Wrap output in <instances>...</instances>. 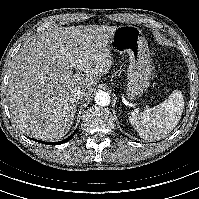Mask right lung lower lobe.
<instances>
[{"label": "right lung lower lobe", "instance_id": "1", "mask_svg": "<svg viewBox=\"0 0 199 199\" xmlns=\"http://www.w3.org/2000/svg\"><path fill=\"white\" fill-rule=\"evenodd\" d=\"M74 134H75V132L72 135H70L68 138H66L65 140L60 141V142H44V141H40V140H36V139H32V140L37 141L39 143L47 144V145H59V144L69 141L73 137Z\"/></svg>", "mask_w": 199, "mask_h": 199}]
</instances>
